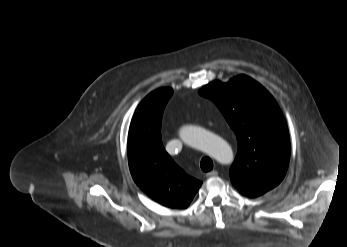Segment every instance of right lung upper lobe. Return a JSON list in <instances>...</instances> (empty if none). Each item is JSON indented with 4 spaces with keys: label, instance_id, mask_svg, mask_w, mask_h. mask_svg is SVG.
Segmentation results:
<instances>
[{
    "label": "right lung upper lobe",
    "instance_id": "1",
    "mask_svg": "<svg viewBox=\"0 0 347 247\" xmlns=\"http://www.w3.org/2000/svg\"><path fill=\"white\" fill-rule=\"evenodd\" d=\"M171 95V88L157 89L137 107L128 135V162L135 183L149 197L170 208H186L202 183L189 177L164 150L161 119Z\"/></svg>",
    "mask_w": 347,
    "mask_h": 247
}]
</instances>
